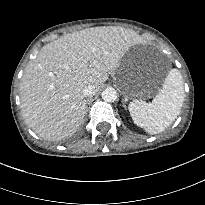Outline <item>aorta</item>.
Here are the masks:
<instances>
[{
	"mask_svg": "<svg viewBox=\"0 0 205 205\" xmlns=\"http://www.w3.org/2000/svg\"><path fill=\"white\" fill-rule=\"evenodd\" d=\"M102 99L106 102H114L117 99V92L114 88L108 87L102 92Z\"/></svg>",
	"mask_w": 205,
	"mask_h": 205,
	"instance_id": "1",
	"label": "aorta"
}]
</instances>
